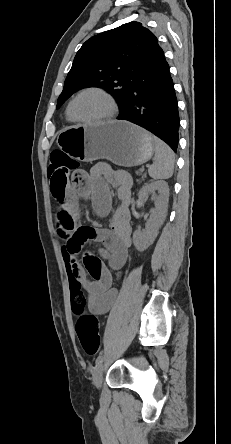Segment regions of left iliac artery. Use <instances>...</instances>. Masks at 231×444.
<instances>
[{
    "label": "left iliac artery",
    "mask_w": 231,
    "mask_h": 444,
    "mask_svg": "<svg viewBox=\"0 0 231 444\" xmlns=\"http://www.w3.org/2000/svg\"><path fill=\"white\" fill-rule=\"evenodd\" d=\"M103 356L100 354L96 359V365L100 364L102 362Z\"/></svg>",
    "instance_id": "obj_1"
}]
</instances>
